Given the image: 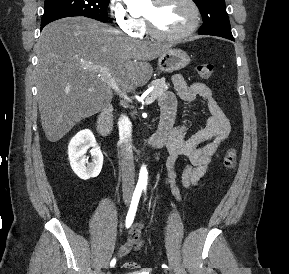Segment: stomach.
Returning <instances> with one entry per match:
<instances>
[{
  "instance_id": "stomach-1",
  "label": "stomach",
  "mask_w": 289,
  "mask_h": 274,
  "mask_svg": "<svg viewBox=\"0 0 289 274\" xmlns=\"http://www.w3.org/2000/svg\"><path fill=\"white\" fill-rule=\"evenodd\" d=\"M190 58L186 52L180 49H169L159 56L158 67L163 72H173L186 67Z\"/></svg>"
}]
</instances>
